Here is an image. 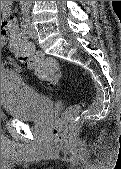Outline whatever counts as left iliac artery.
<instances>
[{
	"instance_id": "left-iliac-artery-1",
	"label": "left iliac artery",
	"mask_w": 121,
	"mask_h": 169,
	"mask_svg": "<svg viewBox=\"0 0 121 169\" xmlns=\"http://www.w3.org/2000/svg\"><path fill=\"white\" fill-rule=\"evenodd\" d=\"M22 14H23V16H22V20H21V27L25 31L28 26V22H29L28 9L22 8Z\"/></svg>"
}]
</instances>
